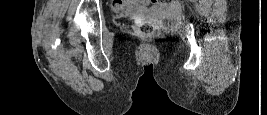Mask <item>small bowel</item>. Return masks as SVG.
Returning <instances> with one entry per match:
<instances>
[{
  "instance_id": "c3829d8e",
  "label": "small bowel",
  "mask_w": 267,
  "mask_h": 115,
  "mask_svg": "<svg viewBox=\"0 0 267 115\" xmlns=\"http://www.w3.org/2000/svg\"><path fill=\"white\" fill-rule=\"evenodd\" d=\"M147 1H126V0H117L113 2V7L116 11L132 15V16H142L148 12ZM177 6L174 4L171 6V10H176ZM155 11L166 10V7L161 4H156L153 7Z\"/></svg>"
}]
</instances>
